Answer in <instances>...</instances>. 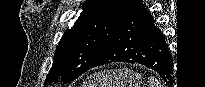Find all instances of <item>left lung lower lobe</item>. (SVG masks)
<instances>
[{"label": "left lung lower lobe", "mask_w": 205, "mask_h": 87, "mask_svg": "<svg viewBox=\"0 0 205 87\" xmlns=\"http://www.w3.org/2000/svg\"><path fill=\"white\" fill-rule=\"evenodd\" d=\"M112 62L140 63L172 81L173 59L165 37L150 12L138 0L92 67Z\"/></svg>", "instance_id": "obj_1"}]
</instances>
